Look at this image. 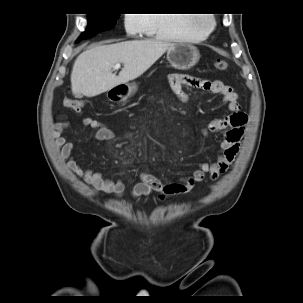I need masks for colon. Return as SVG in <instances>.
<instances>
[{"mask_svg":"<svg viewBox=\"0 0 303 303\" xmlns=\"http://www.w3.org/2000/svg\"><path fill=\"white\" fill-rule=\"evenodd\" d=\"M214 65L215 68L219 71H225L228 68V63L224 59L215 60ZM67 106L78 111L82 109V103L80 101H68Z\"/></svg>","mask_w":303,"mask_h":303,"instance_id":"colon-1","label":"colon"}]
</instances>
